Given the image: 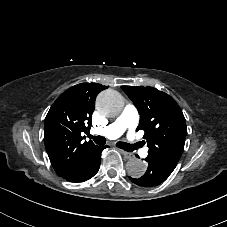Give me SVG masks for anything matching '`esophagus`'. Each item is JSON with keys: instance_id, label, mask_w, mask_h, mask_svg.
I'll return each instance as SVG.
<instances>
[{"instance_id": "34e87169", "label": "esophagus", "mask_w": 227, "mask_h": 227, "mask_svg": "<svg viewBox=\"0 0 227 227\" xmlns=\"http://www.w3.org/2000/svg\"><path fill=\"white\" fill-rule=\"evenodd\" d=\"M120 152L122 153V155L126 158V159H132L134 158V154L126 152L124 150H120Z\"/></svg>"}]
</instances>
